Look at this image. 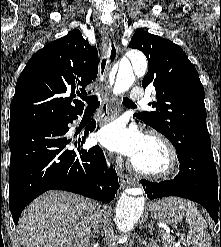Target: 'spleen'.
<instances>
[{"instance_id": "1", "label": "spleen", "mask_w": 221, "mask_h": 247, "mask_svg": "<svg viewBox=\"0 0 221 247\" xmlns=\"http://www.w3.org/2000/svg\"><path fill=\"white\" fill-rule=\"evenodd\" d=\"M182 208L186 210V222L189 225L188 237L193 247H212L210 235L207 233V223L194 204L184 201ZM165 240L173 244L172 237L165 235Z\"/></svg>"}]
</instances>
